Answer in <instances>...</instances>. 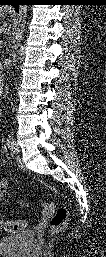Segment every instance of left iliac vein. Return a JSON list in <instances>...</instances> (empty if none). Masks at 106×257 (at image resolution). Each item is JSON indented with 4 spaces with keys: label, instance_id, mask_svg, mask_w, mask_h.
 Masks as SVG:
<instances>
[{
    "label": "left iliac vein",
    "instance_id": "1",
    "mask_svg": "<svg viewBox=\"0 0 106 257\" xmlns=\"http://www.w3.org/2000/svg\"><path fill=\"white\" fill-rule=\"evenodd\" d=\"M19 146L14 142L13 147L11 149V153L13 156H17L19 154Z\"/></svg>",
    "mask_w": 106,
    "mask_h": 257
}]
</instances>
